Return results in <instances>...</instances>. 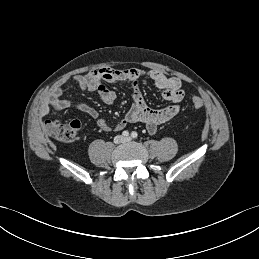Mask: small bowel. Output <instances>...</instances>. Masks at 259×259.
Returning a JSON list of instances; mask_svg holds the SVG:
<instances>
[{"mask_svg":"<svg viewBox=\"0 0 259 259\" xmlns=\"http://www.w3.org/2000/svg\"><path fill=\"white\" fill-rule=\"evenodd\" d=\"M142 78L149 79L152 85L161 91L163 99L170 102V104L160 109L148 107L140 88V80ZM71 81L77 83L88 92L97 93L100 99L107 105L115 101L117 93L105 86L103 82L131 85L133 90L132 105L126 115L115 126V129L118 131L124 129L128 124L143 123L147 131L150 134H154L159 125L170 121L178 114L180 104L184 99V91L180 80L176 77L166 76L156 69L143 70L137 67L114 69L104 67L84 75L74 76L71 78ZM70 107L80 110L95 120L102 131L110 132L111 128L107 121L100 117L95 108L81 101H70L63 98L61 86H57L52 90L50 99L40 109V115L45 116L52 109L60 110Z\"/></svg>","mask_w":259,"mask_h":259,"instance_id":"obj_1","label":"small bowel"}]
</instances>
